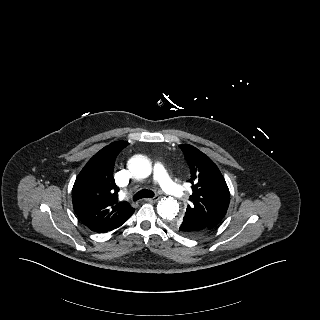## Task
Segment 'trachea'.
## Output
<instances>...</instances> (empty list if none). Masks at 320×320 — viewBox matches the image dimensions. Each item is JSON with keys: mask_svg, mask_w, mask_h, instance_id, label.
Listing matches in <instances>:
<instances>
[{"mask_svg": "<svg viewBox=\"0 0 320 320\" xmlns=\"http://www.w3.org/2000/svg\"><path fill=\"white\" fill-rule=\"evenodd\" d=\"M152 197H154V192L153 191L143 189V190L138 191L133 196V200L137 201V200H140V199H143V198H152Z\"/></svg>", "mask_w": 320, "mask_h": 320, "instance_id": "obj_1", "label": "trachea"}]
</instances>
